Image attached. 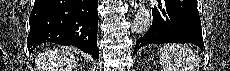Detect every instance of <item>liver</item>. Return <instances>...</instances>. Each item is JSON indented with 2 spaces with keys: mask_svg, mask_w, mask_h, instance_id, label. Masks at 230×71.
Here are the masks:
<instances>
[{
  "mask_svg": "<svg viewBox=\"0 0 230 71\" xmlns=\"http://www.w3.org/2000/svg\"><path fill=\"white\" fill-rule=\"evenodd\" d=\"M38 71H72L76 66L73 54L64 50H48L36 59Z\"/></svg>",
  "mask_w": 230,
  "mask_h": 71,
  "instance_id": "liver-1",
  "label": "liver"
}]
</instances>
